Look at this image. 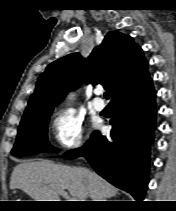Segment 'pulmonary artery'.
<instances>
[{"mask_svg":"<svg viewBox=\"0 0 176 211\" xmlns=\"http://www.w3.org/2000/svg\"><path fill=\"white\" fill-rule=\"evenodd\" d=\"M101 90L98 91V96L93 100V106L97 111H102L105 108V102L99 97Z\"/></svg>","mask_w":176,"mask_h":211,"instance_id":"obj_1","label":"pulmonary artery"}]
</instances>
